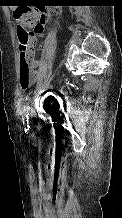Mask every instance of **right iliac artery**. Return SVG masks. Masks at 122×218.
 Masks as SVG:
<instances>
[{"instance_id":"obj_1","label":"right iliac artery","mask_w":122,"mask_h":218,"mask_svg":"<svg viewBox=\"0 0 122 218\" xmlns=\"http://www.w3.org/2000/svg\"><path fill=\"white\" fill-rule=\"evenodd\" d=\"M30 100H28L26 106L24 107V114H23V117H22V120H23V124L25 127H29V110H30Z\"/></svg>"}]
</instances>
